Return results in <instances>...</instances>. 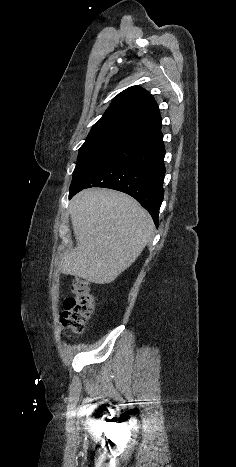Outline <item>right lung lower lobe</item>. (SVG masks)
Masks as SVG:
<instances>
[{
    "mask_svg": "<svg viewBox=\"0 0 236 467\" xmlns=\"http://www.w3.org/2000/svg\"><path fill=\"white\" fill-rule=\"evenodd\" d=\"M162 139L159 125L124 143L71 185L69 198L89 187L119 190L134 197L157 225L166 172Z\"/></svg>",
    "mask_w": 236,
    "mask_h": 467,
    "instance_id": "right-lung-lower-lobe-1",
    "label": "right lung lower lobe"
}]
</instances>
